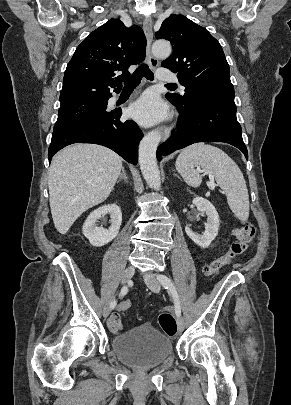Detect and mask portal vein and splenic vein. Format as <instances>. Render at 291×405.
Here are the masks:
<instances>
[{"label": "portal vein and splenic vein", "mask_w": 291, "mask_h": 405, "mask_svg": "<svg viewBox=\"0 0 291 405\" xmlns=\"http://www.w3.org/2000/svg\"><path fill=\"white\" fill-rule=\"evenodd\" d=\"M215 188V186H211V189L213 190Z\"/></svg>", "instance_id": "portal-vein-and-splenic-vein-1"}]
</instances>
